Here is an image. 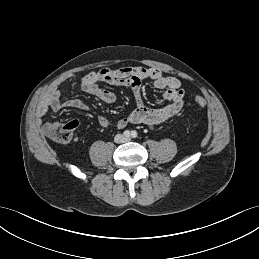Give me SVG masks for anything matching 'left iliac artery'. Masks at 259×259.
<instances>
[{
	"mask_svg": "<svg viewBox=\"0 0 259 259\" xmlns=\"http://www.w3.org/2000/svg\"><path fill=\"white\" fill-rule=\"evenodd\" d=\"M137 135H138V133H137L136 131H132V132H131V136H132V138H136V137H137Z\"/></svg>",
	"mask_w": 259,
	"mask_h": 259,
	"instance_id": "obj_1",
	"label": "left iliac artery"
}]
</instances>
